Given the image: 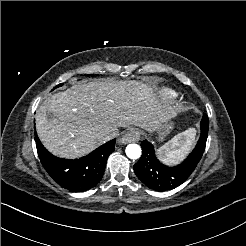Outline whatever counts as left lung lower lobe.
I'll return each instance as SVG.
<instances>
[{
    "label": "left lung lower lobe",
    "mask_w": 246,
    "mask_h": 246,
    "mask_svg": "<svg viewBox=\"0 0 246 246\" xmlns=\"http://www.w3.org/2000/svg\"><path fill=\"white\" fill-rule=\"evenodd\" d=\"M201 135L197 145L186 160L180 165L168 167L155 155L154 147L147 140L141 142L142 156L134 165L136 176L150 189L165 191L174 189L183 183L199 163L206 146L209 119L206 114L200 123Z\"/></svg>",
    "instance_id": "obj_1"
}]
</instances>
